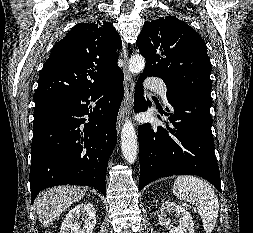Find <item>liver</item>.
Segmentation results:
<instances>
[{"mask_svg": "<svg viewBox=\"0 0 253 233\" xmlns=\"http://www.w3.org/2000/svg\"><path fill=\"white\" fill-rule=\"evenodd\" d=\"M84 195L83 188L73 186H58L41 192L36 199L39 221L44 226H49L63 211Z\"/></svg>", "mask_w": 253, "mask_h": 233, "instance_id": "6515ba94", "label": "liver"}]
</instances>
